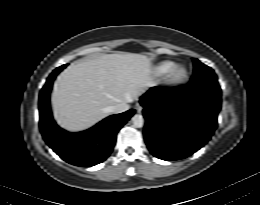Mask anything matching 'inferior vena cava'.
I'll use <instances>...</instances> for the list:
<instances>
[{
	"mask_svg": "<svg viewBox=\"0 0 260 205\" xmlns=\"http://www.w3.org/2000/svg\"><path fill=\"white\" fill-rule=\"evenodd\" d=\"M129 105L127 103H118L116 105L110 106L106 108V111L109 113H122L125 112L127 110H129Z\"/></svg>",
	"mask_w": 260,
	"mask_h": 205,
	"instance_id": "obj_1",
	"label": "inferior vena cava"
}]
</instances>
